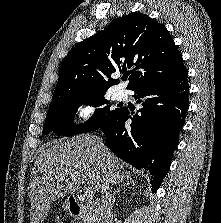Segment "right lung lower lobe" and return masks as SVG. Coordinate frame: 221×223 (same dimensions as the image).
Returning <instances> with one entry per match:
<instances>
[{"label": "right lung lower lobe", "instance_id": "1", "mask_svg": "<svg viewBox=\"0 0 221 223\" xmlns=\"http://www.w3.org/2000/svg\"><path fill=\"white\" fill-rule=\"evenodd\" d=\"M186 67L177 75L133 89L139 114L126 107L98 128L106 137V146L119 158L137 169L147 171L156 192L166 176L179 142L189 108V84ZM132 123L125 125L126 120Z\"/></svg>", "mask_w": 221, "mask_h": 223}]
</instances>
